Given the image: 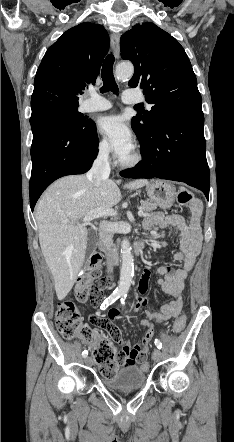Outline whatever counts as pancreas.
Listing matches in <instances>:
<instances>
[{
  "mask_svg": "<svg viewBox=\"0 0 234 442\" xmlns=\"http://www.w3.org/2000/svg\"><path fill=\"white\" fill-rule=\"evenodd\" d=\"M140 208L144 212L150 213V212L154 211L155 209H157V204L152 201H142Z\"/></svg>",
  "mask_w": 234,
  "mask_h": 442,
  "instance_id": "obj_1",
  "label": "pancreas"
}]
</instances>
